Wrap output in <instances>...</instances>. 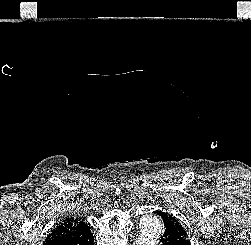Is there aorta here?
Wrapping results in <instances>:
<instances>
[{
  "instance_id": "762f6f07",
  "label": "aorta",
  "mask_w": 251,
  "mask_h": 245,
  "mask_svg": "<svg viewBox=\"0 0 251 245\" xmlns=\"http://www.w3.org/2000/svg\"><path fill=\"white\" fill-rule=\"evenodd\" d=\"M163 226L158 217L153 215L144 216L139 223V237L133 245H157Z\"/></svg>"
}]
</instances>
